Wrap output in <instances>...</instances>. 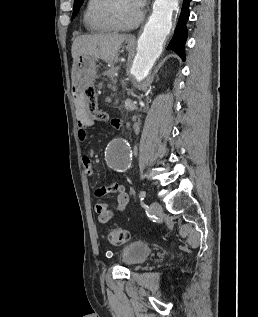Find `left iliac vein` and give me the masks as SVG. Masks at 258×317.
Instances as JSON below:
<instances>
[{"instance_id": "4c4485c4", "label": "left iliac vein", "mask_w": 258, "mask_h": 317, "mask_svg": "<svg viewBox=\"0 0 258 317\" xmlns=\"http://www.w3.org/2000/svg\"><path fill=\"white\" fill-rule=\"evenodd\" d=\"M150 206L154 216H159V214L163 212V207L160 205L159 202H152Z\"/></svg>"}]
</instances>
